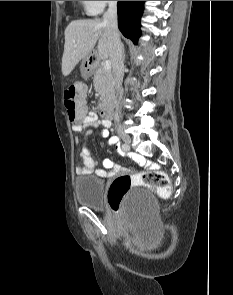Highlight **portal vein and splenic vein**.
I'll return each mask as SVG.
<instances>
[{
  "label": "portal vein and splenic vein",
  "mask_w": 233,
  "mask_h": 295,
  "mask_svg": "<svg viewBox=\"0 0 233 295\" xmlns=\"http://www.w3.org/2000/svg\"><path fill=\"white\" fill-rule=\"evenodd\" d=\"M103 67L105 70H110L111 69V62L106 60L104 63H103Z\"/></svg>",
  "instance_id": "1"
}]
</instances>
